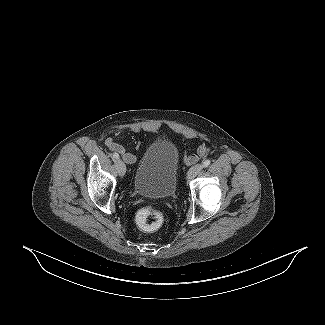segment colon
I'll list each match as a JSON object with an SVG mask.
<instances>
[{
  "instance_id": "colon-1",
  "label": "colon",
  "mask_w": 325,
  "mask_h": 325,
  "mask_svg": "<svg viewBox=\"0 0 325 325\" xmlns=\"http://www.w3.org/2000/svg\"><path fill=\"white\" fill-rule=\"evenodd\" d=\"M136 220L142 230L152 232L162 226L164 216L156 209L144 208L137 214Z\"/></svg>"
}]
</instances>
